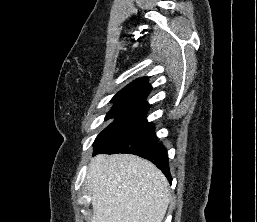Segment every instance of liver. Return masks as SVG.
<instances>
[{
  "label": "liver",
  "mask_w": 257,
  "mask_h": 222,
  "mask_svg": "<svg viewBox=\"0 0 257 222\" xmlns=\"http://www.w3.org/2000/svg\"><path fill=\"white\" fill-rule=\"evenodd\" d=\"M86 185L92 195L91 222H162L170 201L163 173L130 154L95 156Z\"/></svg>",
  "instance_id": "liver-1"
}]
</instances>
